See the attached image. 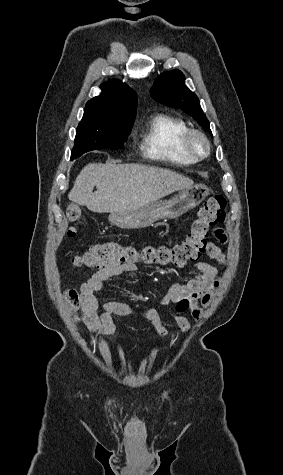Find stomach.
Returning <instances> with one entry per match:
<instances>
[{"label": "stomach", "instance_id": "0dacf381", "mask_svg": "<svg viewBox=\"0 0 283 475\" xmlns=\"http://www.w3.org/2000/svg\"><path fill=\"white\" fill-rule=\"evenodd\" d=\"M209 196V188L204 184H195L192 188L181 190L171 200H159L153 204H147L138 210H126V212H110L108 218L111 224L118 228H146L158 220H173L179 218L185 212L199 206Z\"/></svg>", "mask_w": 283, "mask_h": 475}]
</instances>
